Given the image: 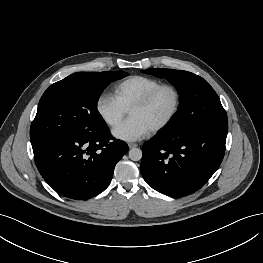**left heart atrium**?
Masks as SVG:
<instances>
[{
    "instance_id": "left-heart-atrium-1",
    "label": "left heart atrium",
    "mask_w": 263,
    "mask_h": 263,
    "mask_svg": "<svg viewBox=\"0 0 263 263\" xmlns=\"http://www.w3.org/2000/svg\"><path fill=\"white\" fill-rule=\"evenodd\" d=\"M151 132V129L144 124L140 119L130 117L115 129H113V136L122 141L132 142L137 141Z\"/></svg>"
}]
</instances>
